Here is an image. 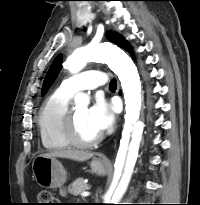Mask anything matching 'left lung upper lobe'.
Masks as SVG:
<instances>
[{"label":"left lung upper lobe","mask_w":200,"mask_h":205,"mask_svg":"<svg viewBox=\"0 0 200 205\" xmlns=\"http://www.w3.org/2000/svg\"><path fill=\"white\" fill-rule=\"evenodd\" d=\"M108 37L113 43H115L116 45L120 47L124 48L125 45L127 44L124 42V39L121 36L117 35L116 33L109 32ZM61 67H62V59H61V56L59 55L58 57H56L49 71L46 74V77L44 79L43 86H42V91H41L42 95H44L47 92L48 88L54 82Z\"/></svg>","instance_id":"5c2ea615"}]
</instances>
